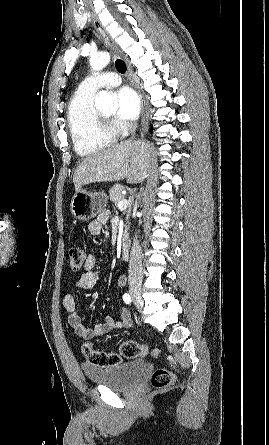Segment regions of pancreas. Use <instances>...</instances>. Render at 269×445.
Segmentation results:
<instances>
[{
  "label": "pancreas",
  "mask_w": 269,
  "mask_h": 445,
  "mask_svg": "<svg viewBox=\"0 0 269 445\" xmlns=\"http://www.w3.org/2000/svg\"><path fill=\"white\" fill-rule=\"evenodd\" d=\"M124 190V186L120 185V184H115L113 185L110 190H109V198L110 201H112L116 206L118 205V203L124 199V195L122 194V191ZM130 214V208L127 210V220ZM127 227L125 229V233H124V238L123 240L126 241L128 238V234H127Z\"/></svg>",
  "instance_id": "pancreas-1"
}]
</instances>
